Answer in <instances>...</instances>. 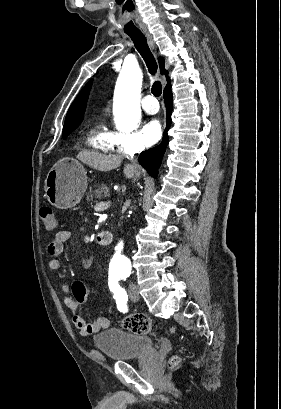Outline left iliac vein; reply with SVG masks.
I'll return each mask as SVG.
<instances>
[{
    "instance_id": "1",
    "label": "left iliac vein",
    "mask_w": 281,
    "mask_h": 409,
    "mask_svg": "<svg viewBox=\"0 0 281 409\" xmlns=\"http://www.w3.org/2000/svg\"><path fill=\"white\" fill-rule=\"evenodd\" d=\"M129 297H130V299H131L132 301H134V302H136V301L139 300L138 290H137V287H136L134 284L130 285V288H129Z\"/></svg>"
}]
</instances>
